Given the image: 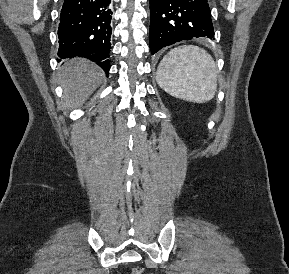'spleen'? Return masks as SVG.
<instances>
[{
	"label": "spleen",
	"mask_w": 289,
	"mask_h": 274,
	"mask_svg": "<svg viewBox=\"0 0 289 274\" xmlns=\"http://www.w3.org/2000/svg\"><path fill=\"white\" fill-rule=\"evenodd\" d=\"M156 80L168 94L204 103L217 89V67L204 49L188 45L172 49L160 62Z\"/></svg>",
	"instance_id": "spleen-1"
}]
</instances>
